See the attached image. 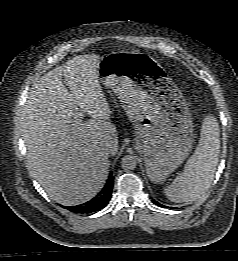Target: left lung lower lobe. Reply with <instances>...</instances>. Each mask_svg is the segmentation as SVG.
<instances>
[{
	"instance_id": "1",
	"label": "left lung lower lobe",
	"mask_w": 238,
	"mask_h": 261,
	"mask_svg": "<svg viewBox=\"0 0 238 261\" xmlns=\"http://www.w3.org/2000/svg\"><path fill=\"white\" fill-rule=\"evenodd\" d=\"M152 201H153V203H155L156 205H158V206H160V207H166V206L160 204L159 202H157V201H155V200H152ZM166 208H168V207H166Z\"/></svg>"
}]
</instances>
